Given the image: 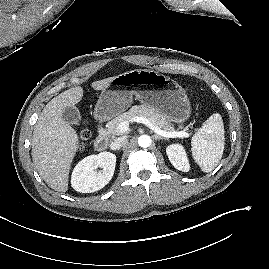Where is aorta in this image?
Returning a JSON list of instances; mask_svg holds the SVG:
<instances>
[{
	"instance_id": "1",
	"label": "aorta",
	"mask_w": 269,
	"mask_h": 269,
	"mask_svg": "<svg viewBox=\"0 0 269 269\" xmlns=\"http://www.w3.org/2000/svg\"><path fill=\"white\" fill-rule=\"evenodd\" d=\"M152 141H151V137L148 135H141L138 138V144L140 147L142 148H147L151 145Z\"/></svg>"
}]
</instances>
